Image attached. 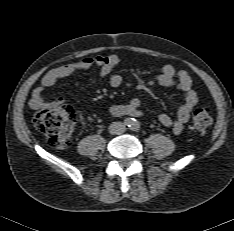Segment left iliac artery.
Returning <instances> with one entry per match:
<instances>
[{
	"instance_id": "obj_1",
	"label": "left iliac artery",
	"mask_w": 234,
	"mask_h": 231,
	"mask_svg": "<svg viewBox=\"0 0 234 231\" xmlns=\"http://www.w3.org/2000/svg\"><path fill=\"white\" fill-rule=\"evenodd\" d=\"M139 128V124L136 122L133 124V130L136 131Z\"/></svg>"
}]
</instances>
